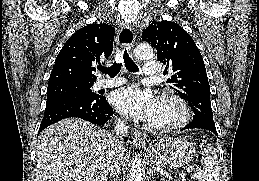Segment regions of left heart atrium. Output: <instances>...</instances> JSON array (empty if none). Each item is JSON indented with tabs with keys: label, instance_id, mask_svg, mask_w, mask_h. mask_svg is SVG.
<instances>
[{
	"label": "left heart atrium",
	"instance_id": "39dd6f15",
	"mask_svg": "<svg viewBox=\"0 0 259 181\" xmlns=\"http://www.w3.org/2000/svg\"><path fill=\"white\" fill-rule=\"evenodd\" d=\"M111 102L122 114L136 120L150 121L158 107V100L149 89L131 85L115 91Z\"/></svg>",
	"mask_w": 259,
	"mask_h": 181
}]
</instances>
